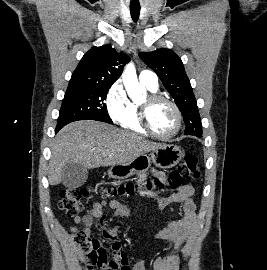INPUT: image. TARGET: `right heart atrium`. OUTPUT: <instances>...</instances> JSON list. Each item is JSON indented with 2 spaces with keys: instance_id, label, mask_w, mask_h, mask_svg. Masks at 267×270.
<instances>
[{
  "instance_id": "d8ad5b80",
  "label": "right heart atrium",
  "mask_w": 267,
  "mask_h": 270,
  "mask_svg": "<svg viewBox=\"0 0 267 270\" xmlns=\"http://www.w3.org/2000/svg\"><path fill=\"white\" fill-rule=\"evenodd\" d=\"M105 106L113 122L121 123L128 116L131 102L120 80L114 82L108 89L105 97Z\"/></svg>"
}]
</instances>
